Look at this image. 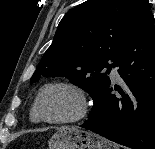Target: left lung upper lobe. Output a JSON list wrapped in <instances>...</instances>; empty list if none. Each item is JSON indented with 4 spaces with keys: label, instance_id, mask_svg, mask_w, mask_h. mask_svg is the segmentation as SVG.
Wrapping results in <instances>:
<instances>
[{
    "label": "left lung upper lobe",
    "instance_id": "left-lung-upper-lobe-1",
    "mask_svg": "<svg viewBox=\"0 0 155 149\" xmlns=\"http://www.w3.org/2000/svg\"><path fill=\"white\" fill-rule=\"evenodd\" d=\"M149 14L148 0H87L71 9L30 83L41 76L67 77L94 98L110 82V61Z\"/></svg>",
    "mask_w": 155,
    "mask_h": 149
}]
</instances>
